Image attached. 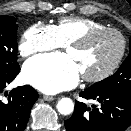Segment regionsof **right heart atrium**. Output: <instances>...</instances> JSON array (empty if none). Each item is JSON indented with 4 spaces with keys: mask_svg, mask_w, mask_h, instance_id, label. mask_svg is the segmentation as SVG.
I'll list each match as a JSON object with an SVG mask.
<instances>
[{
    "mask_svg": "<svg viewBox=\"0 0 131 131\" xmlns=\"http://www.w3.org/2000/svg\"><path fill=\"white\" fill-rule=\"evenodd\" d=\"M54 26L43 23H35L29 26L23 33L18 50L21 56L47 52L61 46Z\"/></svg>",
    "mask_w": 131,
    "mask_h": 131,
    "instance_id": "1",
    "label": "right heart atrium"
}]
</instances>
